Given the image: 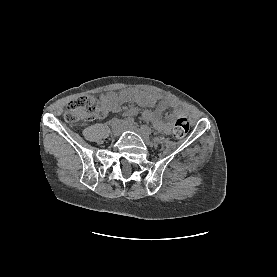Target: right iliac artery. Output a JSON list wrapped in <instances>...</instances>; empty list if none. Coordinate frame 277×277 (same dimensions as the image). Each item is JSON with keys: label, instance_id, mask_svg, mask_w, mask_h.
I'll use <instances>...</instances> for the list:
<instances>
[{"label": "right iliac artery", "instance_id": "82829eb1", "mask_svg": "<svg viewBox=\"0 0 277 277\" xmlns=\"http://www.w3.org/2000/svg\"><path fill=\"white\" fill-rule=\"evenodd\" d=\"M126 123L133 124L134 123V119L132 117H127L126 118Z\"/></svg>", "mask_w": 277, "mask_h": 277}]
</instances>
